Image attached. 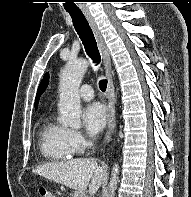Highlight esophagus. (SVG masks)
<instances>
[{"label":"esophagus","instance_id":"1","mask_svg":"<svg viewBox=\"0 0 191 197\" xmlns=\"http://www.w3.org/2000/svg\"><path fill=\"white\" fill-rule=\"evenodd\" d=\"M84 15L86 19L88 20L89 25L92 28L94 35L97 39L98 46L102 55L104 67H105V73H106L107 82H108L107 91H106V99L108 103V126H107L105 139H106V142H110L112 132L115 128V94H114V86H113L112 75H111L110 52L94 18L88 12H85Z\"/></svg>","mask_w":191,"mask_h":197}]
</instances>
